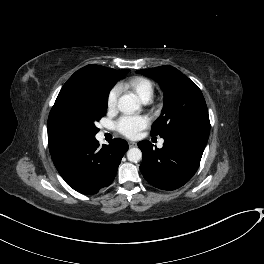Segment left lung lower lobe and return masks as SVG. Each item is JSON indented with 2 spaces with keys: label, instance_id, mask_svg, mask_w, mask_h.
Instances as JSON below:
<instances>
[{
  "label": "left lung lower lobe",
  "instance_id": "1",
  "mask_svg": "<svg viewBox=\"0 0 264 264\" xmlns=\"http://www.w3.org/2000/svg\"><path fill=\"white\" fill-rule=\"evenodd\" d=\"M209 130L200 127L178 130L164 138L162 149H153L149 141L139 142L143 155L140 170L144 178L162 190H174L183 186L200 165Z\"/></svg>",
  "mask_w": 264,
  "mask_h": 264
}]
</instances>
